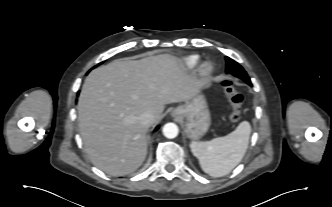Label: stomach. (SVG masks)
<instances>
[{
	"mask_svg": "<svg viewBox=\"0 0 332 207\" xmlns=\"http://www.w3.org/2000/svg\"><path fill=\"white\" fill-rule=\"evenodd\" d=\"M175 118L184 120L185 133L190 139L203 136L209 129L211 118L204 95L198 93L172 112Z\"/></svg>",
	"mask_w": 332,
	"mask_h": 207,
	"instance_id": "1",
	"label": "stomach"
}]
</instances>
